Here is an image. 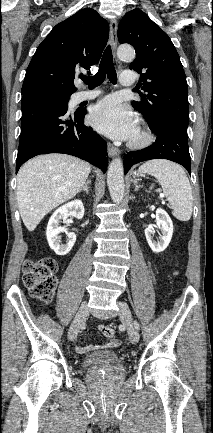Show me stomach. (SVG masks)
Returning a JSON list of instances; mask_svg holds the SVG:
<instances>
[{"label": "stomach", "mask_w": 213, "mask_h": 433, "mask_svg": "<svg viewBox=\"0 0 213 433\" xmlns=\"http://www.w3.org/2000/svg\"><path fill=\"white\" fill-rule=\"evenodd\" d=\"M134 176H135V177H140V176H142V174H140V173H138V172H134Z\"/></svg>", "instance_id": "0dacf381"}]
</instances>
